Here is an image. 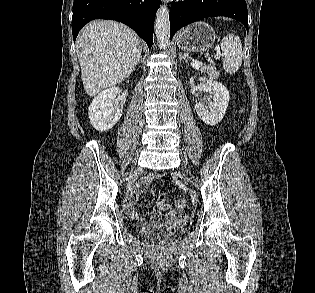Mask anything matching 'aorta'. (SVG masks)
<instances>
[{"label":"aorta","instance_id":"762f6f07","mask_svg":"<svg viewBox=\"0 0 315 293\" xmlns=\"http://www.w3.org/2000/svg\"><path fill=\"white\" fill-rule=\"evenodd\" d=\"M155 33L161 48L166 49L170 43L169 10L166 5H162L156 14Z\"/></svg>","mask_w":315,"mask_h":293}]
</instances>
